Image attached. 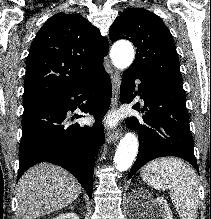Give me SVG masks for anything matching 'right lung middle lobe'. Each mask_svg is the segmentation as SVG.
I'll return each mask as SVG.
<instances>
[{
	"label": "right lung middle lobe",
	"instance_id": "dd1d6c3e",
	"mask_svg": "<svg viewBox=\"0 0 211 219\" xmlns=\"http://www.w3.org/2000/svg\"><path fill=\"white\" fill-rule=\"evenodd\" d=\"M27 108H30V107H24V109H27Z\"/></svg>",
	"mask_w": 211,
	"mask_h": 219
}]
</instances>
